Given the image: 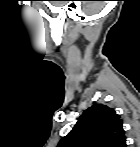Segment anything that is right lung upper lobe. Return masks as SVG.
I'll use <instances>...</instances> for the list:
<instances>
[{"label":"right lung upper lobe","instance_id":"cb5924a9","mask_svg":"<svg viewBox=\"0 0 140 147\" xmlns=\"http://www.w3.org/2000/svg\"><path fill=\"white\" fill-rule=\"evenodd\" d=\"M58 147H126L122 120L113 108L93 104Z\"/></svg>","mask_w":140,"mask_h":147}]
</instances>
